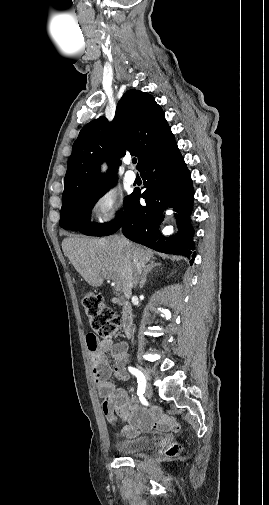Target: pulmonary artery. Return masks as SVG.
I'll return each mask as SVG.
<instances>
[{
    "label": "pulmonary artery",
    "instance_id": "1",
    "mask_svg": "<svg viewBox=\"0 0 269 505\" xmlns=\"http://www.w3.org/2000/svg\"><path fill=\"white\" fill-rule=\"evenodd\" d=\"M126 163L129 165V164L131 163V161H130V160H127V161H126ZM125 180H126L128 183H130V184L134 183V182H135V180H136V175H135L134 171H132V170H128V171L125 173Z\"/></svg>",
    "mask_w": 269,
    "mask_h": 505
}]
</instances>
